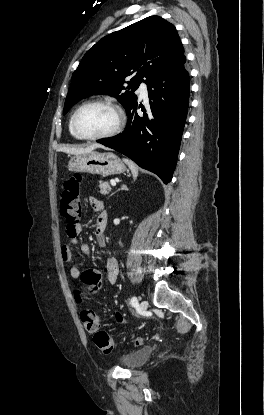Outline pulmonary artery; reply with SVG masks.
Wrapping results in <instances>:
<instances>
[{
    "instance_id": "obj_1",
    "label": "pulmonary artery",
    "mask_w": 264,
    "mask_h": 415,
    "mask_svg": "<svg viewBox=\"0 0 264 415\" xmlns=\"http://www.w3.org/2000/svg\"><path fill=\"white\" fill-rule=\"evenodd\" d=\"M138 93L140 95L141 98H145L148 94V90H147V86L144 83H141L139 88H138Z\"/></svg>"
}]
</instances>
